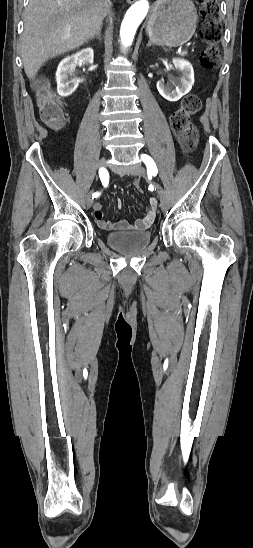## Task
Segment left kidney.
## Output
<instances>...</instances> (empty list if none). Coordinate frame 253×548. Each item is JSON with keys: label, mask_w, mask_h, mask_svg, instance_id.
<instances>
[{"label": "left kidney", "mask_w": 253, "mask_h": 548, "mask_svg": "<svg viewBox=\"0 0 253 548\" xmlns=\"http://www.w3.org/2000/svg\"><path fill=\"white\" fill-rule=\"evenodd\" d=\"M172 62L175 69L180 72V78L171 80L167 85L163 81H158L157 90L166 100L176 102L192 89L194 70L192 65L185 59L175 58Z\"/></svg>", "instance_id": "left-kidney-1"}]
</instances>
